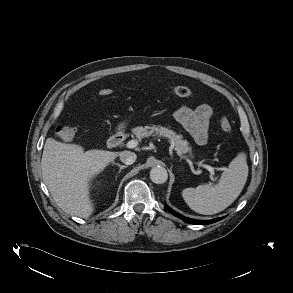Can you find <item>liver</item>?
I'll return each instance as SVG.
<instances>
[{
    "label": "liver",
    "instance_id": "liver-1",
    "mask_svg": "<svg viewBox=\"0 0 293 293\" xmlns=\"http://www.w3.org/2000/svg\"><path fill=\"white\" fill-rule=\"evenodd\" d=\"M117 156L118 153L96 149L85 152L80 145L49 137L41 159L43 181L64 212L87 218L94 211L91 183Z\"/></svg>",
    "mask_w": 293,
    "mask_h": 293
}]
</instances>
